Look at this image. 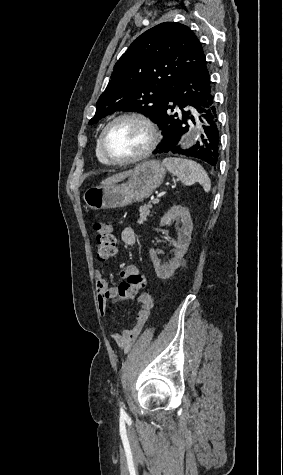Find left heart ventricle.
<instances>
[{"instance_id":"1","label":"left heart ventricle","mask_w":283,"mask_h":475,"mask_svg":"<svg viewBox=\"0 0 283 475\" xmlns=\"http://www.w3.org/2000/svg\"><path fill=\"white\" fill-rule=\"evenodd\" d=\"M150 140L149 128L141 121L124 119L113 124L104 138L106 154L126 158L139 154Z\"/></svg>"}]
</instances>
